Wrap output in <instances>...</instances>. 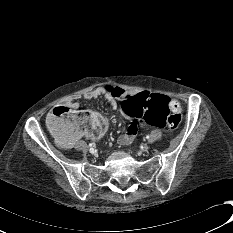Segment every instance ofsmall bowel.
Listing matches in <instances>:
<instances>
[{
  "instance_id": "obj_1",
  "label": "small bowel",
  "mask_w": 233,
  "mask_h": 233,
  "mask_svg": "<svg viewBox=\"0 0 233 233\" xmlns=\"http://www.w3.org/2000/svg\"><path fill=\"white\" fill-rule=\"evenodd\" d=\"M140 93H147L150 96L149 92H140ZM140 93H130L125 91L124 89L117 87V86H112V85H107L103 87H99L97 89H94L92 91L86 92L83 97L85 99H95L98 97H105L109 105L113 109L118 108V101H122L124 98L127 97H136ZM65 105L68 106L71 110L75 111L79 108V103L77 101H74L73 99H68L65 101ZM127 118V117H126ZM129 120V125L127 130L121 134L118 138V142L121 145H128L133 142V140L136 138L138 131H139V123H140V118L138 119H133V118H127ZM90 135L92 136L93 139L98 140L101 138L102 133L101 132H96L92 134H79V135H74V136H56V142L57 144L64 149H69L73 146V144L82 136Z\"/></svg>"
}]
</instances>
